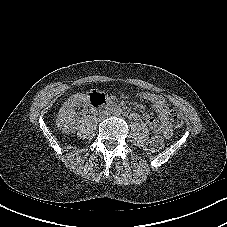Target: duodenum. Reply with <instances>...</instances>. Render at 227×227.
<instances>
[{
    "label": "duodenum",
    "mask_w": 227,
    "mask_h": 227,
    "mask_svg": "<svg viewBox=\"0 0 227 227\" xmlns=\"http://www.w3.org/2000/svg\"><path fill=\"white\" fill-rule=\"evenodd\" d=\"M107 102V99L104 95H98L90 100L91 106L94 110H97L98 108L104 106ZM124 114L132 120L138 119V114L131 111H125Z\"/></svg>",
    "instance_id": "410a0bca"
}]
</instances>
